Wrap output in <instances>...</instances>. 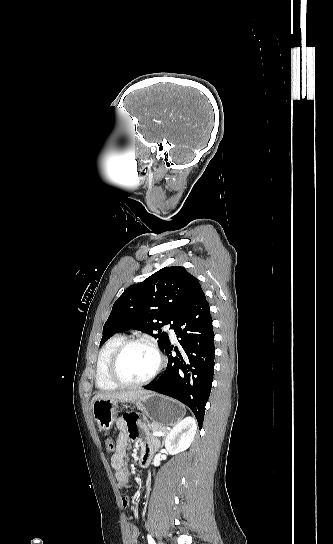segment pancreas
<instances>
[{"label":"pancreas","instance_id":"obj_1","mask_svg":"<svg viewBox=\"0 0 333 544\" xmlns=\"http://www.w3.org/2000/svg\"><path fill=\"white\" fill-rule=\"evenodd\" d=\"M141 425L143 426L145 433L148 434V435L150 434V431L151 432L162 431V432H165V433L167 432L162 425H160L158 423H155V422L148 423V424H141Z\"/></svg>","mask_w":333,"mask_h":544}]
</instances>
